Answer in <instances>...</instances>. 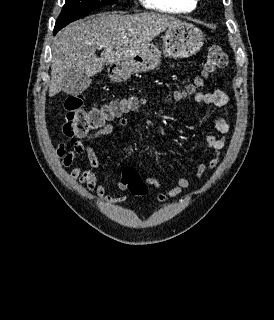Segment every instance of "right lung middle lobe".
I'll list each match as a JSON object with an SVG mask.
<instances>
[{
    "instance_id": "1",
    "label": "right lung middle lobe",
    "mask_w": 274,
    "mask_h": 320,
    "mask_svg": "<svg viewBox=\"0 0 274 320\" xmlns=\"http://www.w3.org/2000/svg\"><path fill=\"white\" fill-rule=\"evenodd\" d=\"M118 0H66L62 12L59 15L55 31L60 30L72 21L78 20L91 11L108 4L116 3Z\"/></svg>"
}]
</instances>
